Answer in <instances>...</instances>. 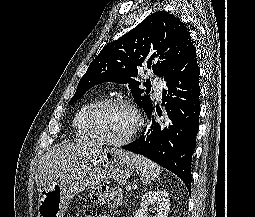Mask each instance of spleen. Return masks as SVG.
Segmentation results:
<instances>
[{
    "instance_id": "3e777b00",
    "label": "spleen",
    "mask_w": 255,
    "mask_h": 217,
    "mask_svg": "<svg viewBox=\"0 0 255 217\" xmlns=\"http://www.w3.org/2000/svg\"><path fill=\"white\" fill-rule=\"evenodd\" d=\"M130 156L137 170L141 172V179L144 183H150L158 178L162 171L158 164L138 154L131 153Z\"/></svg>"
}]
</instances>
